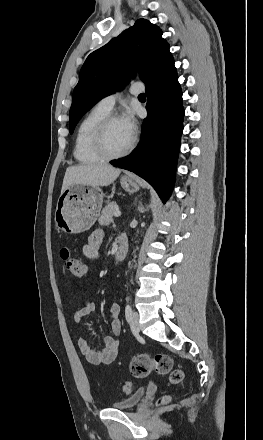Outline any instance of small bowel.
Returning <instances> with one entry per match:
<instances>
[{
  "label": "small bowel",
  "instance_id": "small-bowel-1",
  "mask_svg": "<svg viewBox=\"0 0 263 440\" xmlns=\"http://www.w3.org/2000/svg\"><path fill=\"white\" fill-rule=\"evenodd\" d=\"M104 241V232L101 230L94 231L83 246V254L90 260L97 259L99 256L101 245ZM95 303L91 299H86L82 307L76 312L74 319L77 323H82L95 311ZM120 306L114 302L110 307V323L111 336L103 338V348L97 350L93 346V340L90 336H82L78 340V346L86 359L95 365L109 364L118 354L119 341L117 337L121 332V322L119 320Z\"/></svg>",
  "mask_w": 263,
  "mask_h": 440
}]
</instances>
